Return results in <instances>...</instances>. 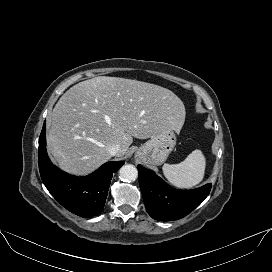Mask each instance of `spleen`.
<instances>
[{
    "label": "spleen",
    "mask_w": 272,
    "mask_h": 272,
    "mask_svg": "<svg viewBox=\"0 0 272 272\" xmlns=\"http://www.w3.org/2000/svg\"><path fill=\"white\" fill-rule=\"evenodd\" d=\"M205 167V157L200 150L196 149L179 164H164L162 170L171 184L186 189L202 181Z\"/></svg>",
    "instance_id": "1"
}]
</instances>
